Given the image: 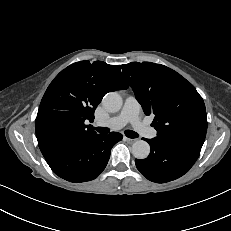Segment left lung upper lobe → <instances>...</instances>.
Instances as JSON below:
<instances>
[{
  "instance_id": "left-lung-upper-lobe-1",
  "label": "left lung upper lobe",
  "mask_w": 231,
  "mask_h": 231,
  "mask_svg": "<svg viewBox=\"0 0 231 231\" xmlns=\"http://www.w3.org/2000/svg\"><path fill=\"white\" fill-rule=\"evenodd\" d=\"M146 115H154L157 137H189L204 141L205 104L195 87L176 71L151 62L121 65Z\"/></svg>"
}]
</instances>
